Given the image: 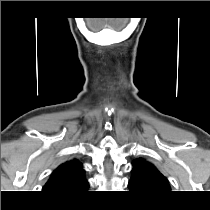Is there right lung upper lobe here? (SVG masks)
Segmentation results:
<instances>
[{"label": "right lung upper lobe", "mask_w": 210, "mask_h": 210, "mask_svg": "<svg viewBox=\"0 0 210 210\" xmlns=\"http://www.w3.org/2000/svg\"><path fill=\"white\" fill-rule=\"evenodd\" d=\"M84 172L77 159L67 161L53 171L43 187V192L55 198L80 196L89 187Z\"/></svg>", "instance_id": "cb5924a9"}]
</instances>
